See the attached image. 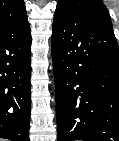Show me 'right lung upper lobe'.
I'll use <instances>...</instances> for the list:
<instances>
[{
    "mask_svg": "<svg viewBox=\"0 0 119 141\" xmlns=\"http://www.w3.org/2000/svg\"><path fill=\"white\" fill-rule=\"evenodd\" d=\"M26 16L23 0H0V22L20 19Z\"/></svg>",
    "mask_w": 119,
    "mask_h": 141,
    "instance_id": "right-lung-upper-lobe-1",
    "label": "right lung upper lobe"
}]
</instances>
